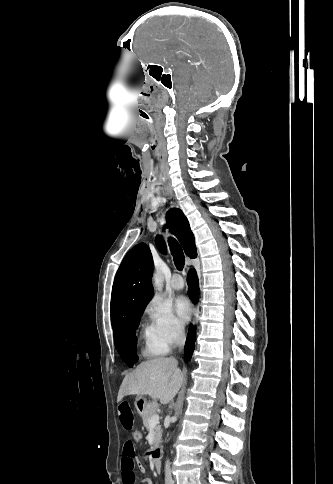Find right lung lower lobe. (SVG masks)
Instances as JSON below:
<instances>
[{
	"mask_svg": "<svg viewBox=\"0 0 333 484\" xmlns=\"http://www.w3.org/2000/svg\"><path fill=\"white\" fill-rule=\"evenodd\" d=\"M187 282L189 287V296L191 299H195L198 295L199 286H198L197 274L194 269L189 270V273L187 276ZM194 347H195V329L191 325L189 328V332H188L187 340L185 344V357L188 361L191 359Z\"/></svg>",
	"mask_w": 333,
	"mask_h": 484,
	"instance_id": "98d812e1",
	"label": "right lung lower lobe"
}]
</instances>
